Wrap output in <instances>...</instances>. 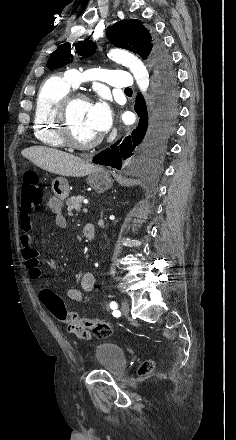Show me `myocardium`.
<instances>
[{
	"instance_id": "myocardium-1",
	"label": "myocardium",
	"mask_w": 236,
	"mask_h": 440,
	"mask_svg": "<svg viewBox=\"0 0 236 440\" xmlns=\"http://www.w3.org/2000/svg\"><path fill=\"white\" fill-rule=\"evenodd\" d=\"M77 101L90 102V98L83 92L70 91L57 102L53 112L57 124V133L65 146L78 150L92 149L100 143V136L87 142H79L71 132L69 113L73 104Z\"/></svg>"
}]
</instances>
